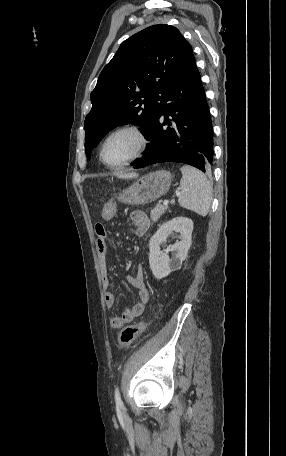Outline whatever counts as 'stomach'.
<instances>
[{
	"mask_svg": "<svg viewBox=\"0 0 286 456\" xmlns=\"http://www.w3.org/2000/svg\"><path fill=\"white\" fill-rule=\"evenodd\" d=\"M171 179V173L166 170L149 173L124 190L119 195L118 200L129 205L151 203L160 198L169 189Z\"/></svg>",
	"mask_w": 286,
	"mask_h": 456,
	"instance_id": "stomach-1",
	"label": "stomach"
}]
</instances>
